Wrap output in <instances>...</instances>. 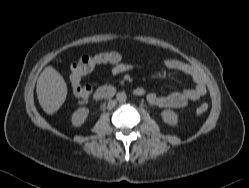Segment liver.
<instances>
[{
	"label": "liver",
	"mask_w": 249,
	"mask_h": 188,
	"mask_svg": "<svg viewBox=\"0 0 249 188\" xmlns=\"http://www.w3.org/2000/svg\"><path fill=\"white\" fill-rule=\"evenodd\" d=\"M36 92L42 109L53 114L66 100L67 84L55 68L47 66L37 79Z\"/></svg>",
	"instance_id": "6515ba94"
}]
</instances>
